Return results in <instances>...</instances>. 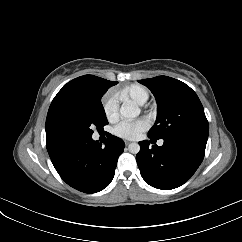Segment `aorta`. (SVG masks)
<instances>
[{
  "label": "aorta",
  "instance_id": "aorta-1",
  "mask_svg": "<svg viewBox=\"0 0 242 242\" xmlns=\"http://www.w3.org/2000/svg\"><path fill=\"white\" fill-rule=\"evenodd\" d=\"M121 116L124 118H135L139 115L140 109L131 103H126L120 110ZM129 152L137 154L140 151V145L138 143H131L128 146Z\"/></svg>",
  "mask_w": 242,
  "mask_h": 242
}]
</instances>
